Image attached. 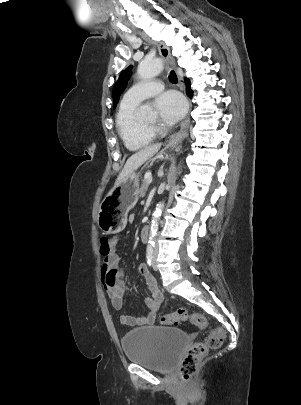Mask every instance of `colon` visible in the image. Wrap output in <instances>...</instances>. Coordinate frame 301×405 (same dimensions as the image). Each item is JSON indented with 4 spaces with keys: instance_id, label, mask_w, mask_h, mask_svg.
Segmentation results:
<instances>
[{
    "instance_id": "colon-1",
    "label": "colon",
    "mask_w": 301,
    "mask_h": 405,
    "mask_svg": "<svg viewBox=\"0 0 301 405\" xmlns=\"http://www.w3.org/2000/svg\"><path fill=\"white\" fill-rule=\"evenodd\" d=\"M111 232H107L102 236L100 250L103 255H107L111 251V241L109 237ZM189 318L190 322L201 330L207 328V320L200 313H193L188 316L185 309H178L172 313L161 315L159 321L164 325H177L184 323ZM224 340V331L221 328L210 329L204 341L193 344L179 364V375L184 382H188L198 368L200 362L204 359L210 349L219 348Z\"/></svg>"
}]
</instances>
